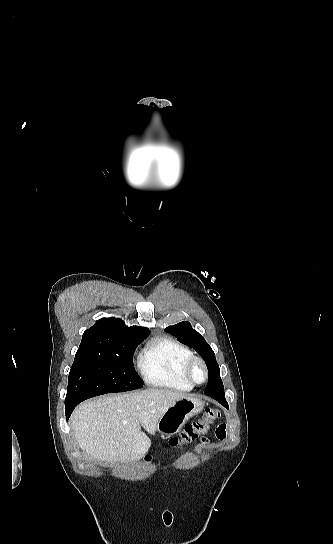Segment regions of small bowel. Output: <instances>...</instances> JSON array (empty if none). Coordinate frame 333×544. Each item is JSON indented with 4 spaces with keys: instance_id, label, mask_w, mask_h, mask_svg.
<instances>
[{
    "instance_id": "small-bowel-1",
    "label": "small bowel",
    "mask_w": 333,
    "mask_h": 544,
    "mask_svg": "<svg viewBox=\"0 0 333 544\" xmlns=\"http://www.w3.org/2000/svg\"><path fill=\"white\" fill-rule=\"evenodd\" d=\"M227 435V425L226 424H220L216 429V436L223 440L226 438Z\"/></svg>"
}]
</instances>
